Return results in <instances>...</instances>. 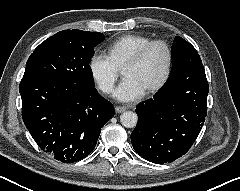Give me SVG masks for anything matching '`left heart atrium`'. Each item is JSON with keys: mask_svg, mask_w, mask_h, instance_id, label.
Returning <instances> with one entry per match:
<instances>
[{"mask_svg": "<svg viewBox=\"0 0 240 191\" xmlns=\"http://www.w3.org/2000/svg\"><path fill=\"white\" fill-rule=\"evenodd\" d=\"M144 93L143 87L134 78L127 77L114 92V97L119 101L130 102L141 98Z\"/></svg>", "mask_w": 240, "mask_h": 191, "instance_id": "1", "label": "left heart atrium"}]
</instances>
